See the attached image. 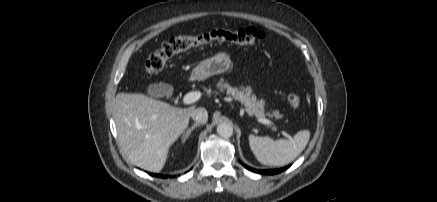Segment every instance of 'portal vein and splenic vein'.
<instances>
[{
	"label": "portal vein and splenic vein",
	"mask_w": 437,
	"mask_h": 202,
	"mask_svg": "<svg viewBox=\"0 0 437 202\" xmlns=\"http://www.w3.org/2000/svg\"><path fill=\"white\" fill-rule=\"evenodd\" d=\"M200 97H201V94H200L199 92H197V91H195V92H189V93H187V94L183 97V103H184L185 105L192 104V103L198 101V100L200 99ZM258 121H259L260 123L265 124V125H268V126H269V125H273V123H272L270 120L265 119V118H258ZM282 134L285 135L286 137L290 138V136L287 135L285 132H282Z\"/></svg>",
	"instance_id": "18ae733b"
}]
</instances>
